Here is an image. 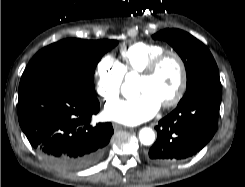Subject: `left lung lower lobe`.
I'll use <instances>...</instances> for the list:
<instances>
[{
	"instance_id": "left-lung-lower-lobe-1",
	"label": "left lung lower lobe",
	"mask_w": 245,
	"mask_h": 187,
	"mask_svg": "<svg viewBox=\"0 0 245 187\" xmlns=\"http://www.w3.org/2000/svg\"><path fill=\"white\" fill-rule=\"evenodd\" d=\"M221 97V86L215 85L180 101L155 127L157 140L149 150V159L175 164L201 150L217 130Z\"/></svg>"
}]
</instances>
